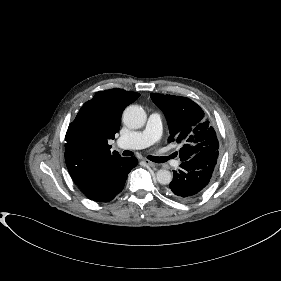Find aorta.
I'll use <instances>...</instances> for the list:
<instances>
[{
  "mask_svg": "<svg viewBox=\"0 0 281 281\" xmlns=\"http://www.w3.org/2000/svg\"><path fill=\"white\" fill-rule=\"evenodd\" d=\"M123 122L129 128H141L146 122V113L142 107L130 105L123 112ZM156 180L162 185H167L172 181V174L165 169L158 170Z\"/></svg>",
  "mask_w": 281,
  "mask_h": 281,
  "instance_id": "1",
  "label": "aorta"
}]
</instances>
